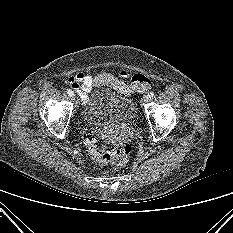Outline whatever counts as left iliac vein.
Returning <instances> with one entry per match:
<instances>
[{
    "label": "left iliac vein",
    "instance_id": "4c4485c4",
    "mask_svg": "<svg viewBox=\"0 0 233 233\" xmlns=\"http://www.w3.org/2000/svg\"><path fill=\"white\" fill-rule=\"evenodd\" d=\"M149 101L148 96H144L141 100V105H144L145 103H147Z\"/></svg>",
    "mask_w": 233,
    "mask_h": 233
}]
</instances>
